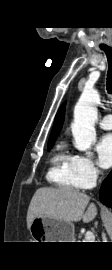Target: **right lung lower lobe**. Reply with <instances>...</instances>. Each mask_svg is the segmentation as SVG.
Returning <instances> with one entry per match:
<instances>
[{
    "instance_id": "1",
    "label": "right lung lower lobe",
    "mask_w": 112,
    "mask_h": 270,
    "mask_svg": "<svg viewBox=\"0 0 112 270\" xmlns=\"http://www.w3.org/2000/svg\"><path fill=\"white\" fill-rule=\"evenodd\" d=\"M99 198L103 204L112 208V171L101 185Z\"/></svg>"
}]
</instances>
